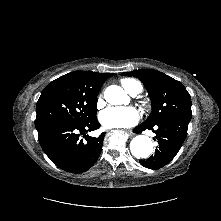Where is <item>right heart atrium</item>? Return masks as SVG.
<instances>
[{"label":"right heart atrium","mask_w":221,"mask_h":221,"mask_svg":"<svg viewBox=\"0 0 221 221\" xmlns=\"http://www.w3.org/2000/svg\"><path fill=\"white\" fill-rule=\"evenodd\" d=\"M97 107H101L103 105V99H102V96H100L98 99H97Z\"/></svg>","instance_id":"d8ad5b80"}]
</instances>
